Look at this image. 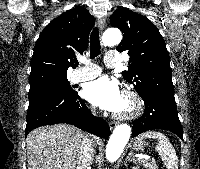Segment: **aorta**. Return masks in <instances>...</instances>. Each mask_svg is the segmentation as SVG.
<instances>
[{"label":"aorta","instance_id":"762f6f07","mask_svg":"<svg viewBox=\"0 0 200 169\" xmlns=\"http://www.w3.org/2000/svg\"><path fill=\"white\" fill-rule=\"evenodd\" d=\"M122 40L121 32L117 29L107 30L102 37L104 46L118 45ZM131 136V127L128 124H120L116 126L106 148V158L113 163L119 159L123 149Z\"/></svg>","mask_w":200,"mask_h":169}]
</instances>
